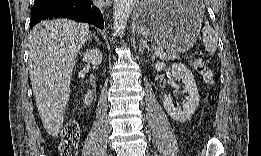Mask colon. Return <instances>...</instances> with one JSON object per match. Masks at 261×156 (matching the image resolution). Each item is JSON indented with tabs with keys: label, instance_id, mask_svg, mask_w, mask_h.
I'll return each instance as SVG.
<instances>
[{
	"label": "colon",
	"instance_id": "1",
	"mask_svg": "<svg viewBox=\"0 0 261 156\" xmlns=\"http://www.w3.org/2000/svg\"><path fill=\"white\" fill-rule=\"evenodd\" d=\"M192 67L200 74L206 83L213 82L212 70L201 60L192 61ZM80 140V127L76 120L66 122L61 131V141L59 143V153L62 156H75L78 152Z\"/></svg>",
	"mask_w": 261,
	"mask_h": 156
}]
</instances>
